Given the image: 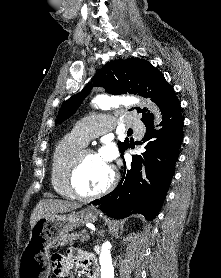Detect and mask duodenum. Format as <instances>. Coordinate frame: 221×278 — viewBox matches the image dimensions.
Listing matches in <instances>:
<instances>
[{"mask_svg":"<svg viewBox=\"0 0 221 278\" xmlns=\"http://www.w3.org/2000/svg\"><path fill=\"white\" fill-rule=\"evenodd\" d=\"M84 271L88 278H98L97 264L95 261H88Z\"/></svg>","mask_w":221,"mask_h":278,"instance_id":"duodenum-1","label":"duodenum"}]
</instances>
